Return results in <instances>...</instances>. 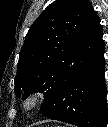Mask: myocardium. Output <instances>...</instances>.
<instances>
[{"mask_svg": "<svg viewBox=\"0 0 108 127\" xmlns=\"http://www.w3.org/2000/svg\"><path fill=\"white\" fill-rule=\"evenodd\" d=\"M42 102V96L38 92H30L26 94L21 100V107L25 111H32L36 109Z\"/></svg>", "mask_w": 108, "mask_h": 127, "instance_id": "obj_1", "label": "myocardium"}]
</instances>
